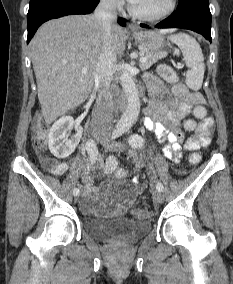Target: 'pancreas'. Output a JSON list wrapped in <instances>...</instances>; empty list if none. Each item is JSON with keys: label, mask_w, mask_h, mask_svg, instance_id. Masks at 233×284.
<instances>
[{"label": "pancreas", "mask_w": 233, "mask_h": 284, "mask_svg": "<svg viewBox=\"0 0 233 284\" xmlns=\"http://www.w3.org/2000/svg\"><path fill=\"white\" fill-rule=\"evenodd\" d=\"M167 56V52L158 51V52H145L146 62L140 63V68L142 71L149 69L154 63L159 59H162Z\"/></svg>", "instance_id": "cf45deb5"}]
</instances>
